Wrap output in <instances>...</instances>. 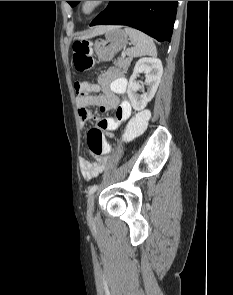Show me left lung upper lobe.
I'll use <instances>...</instances> for the list:
<instances>
[{"mask_svg":"<svg viewBox=\"0 0 233 295\" xmlns=\"http://www.w3.org/2000/svg\"><path fill=\"white\" fill-rule=\"evenodd\" d=\"M72 7H74L79 1H67Z\"/></svg>","mask_w":233,"mask_h":295,"instance_id":"obj_1","label":"left lung upper lobe"}]
</instances>
